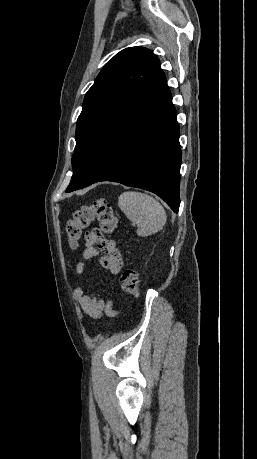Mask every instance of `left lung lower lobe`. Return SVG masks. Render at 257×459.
<instances>
[{
  "instance_id": "left-lung-lower-lobe-1",
  "label": "left lung lower lobe",
  "mask_w": 257,
  "mask_h": 459,
  "mask_svg": "<svg viewBox=\"0 0 257 459\" xmlns=\"http://www.w3.org/2000/svg\"><path fill=\"white\" fill-rule=\"evenodd\" d=\"M176 116L160 69L110 132L103 165L92 183L113 181L151 191L178 212L181 151Z\"/></svg>"
}]
</instances>
